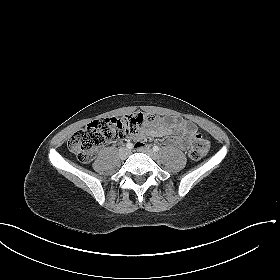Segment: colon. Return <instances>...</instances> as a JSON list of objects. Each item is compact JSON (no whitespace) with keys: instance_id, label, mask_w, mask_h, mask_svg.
<instances>
[{"instance_id":"obj_1","label":"colon","mask_w":280,"mask_h":280,"mask_svg":"<svg viewBox=\"0 0 280 280\" xmlns=\"http://www.w3.org/2000/svg\"><path fill=\"white\" fill-rule=\"evenodd\" d=\"M153 121L154 116L146 113L96 120L72 135L68 141V149L80 162L89 163L104 144L134 135ZM208 149V139L203 134L196 133L192 137L188 154L191 160L198 161Z\"/></svg>"}]
</instances>
